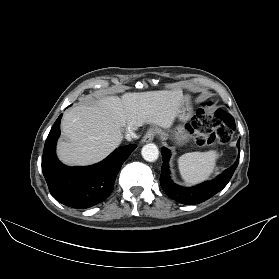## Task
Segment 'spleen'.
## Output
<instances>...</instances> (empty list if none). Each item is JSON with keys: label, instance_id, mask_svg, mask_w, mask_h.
<instances>
[{"label": "spleen", "instance_id": "1", "mask_svg": "<svg viewBox=\"0 0 279 279\" xmlns=\"http://www.w3.org/2000/svg\"><path fill=\"white\" fill-rule=\"evenodd\" d=\"M219 154L211 150L207 152H190L178 159L180 174L188 184H197L207 180L213 173Z\"/></svg>", "mask_w": 279, "mask_h": 279}]
</instances>
